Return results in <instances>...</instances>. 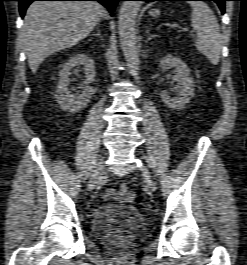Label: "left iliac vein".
Segmentation results:
<instances>
[{"mask_svg": "<svg viewBox=\"0 0 247 265\" xmlns=\"http://www.w3.org/2000/svg\"><path fill=\"white\" fill-rule=\"evenodd\" d=\"M140 171H141V173H142L147 185L150 188H153L154 187V183L152 181L151 174H150L149 170L145 166H141L140 167Z\"/></svg>", "mask_w": 247, "mask_h": 265, "instance_id": "obj_1", "label": "left iliac vein"}]
</instances>
